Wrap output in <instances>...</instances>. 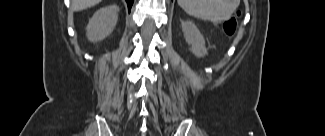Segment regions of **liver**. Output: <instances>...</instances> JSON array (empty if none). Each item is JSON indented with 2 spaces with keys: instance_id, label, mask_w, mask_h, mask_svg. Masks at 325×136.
Instances as JSON below:
<instances>
[{
  "instance_id": "1",
  "label": "liver",
  "mask_w": 325,
  "mask_h": 136,
  "mask_svg": "<svg viewBox=\"0 0 325 136\" xmlns=\"http://www.w3.org/2000/svg\"><path fill=\"white\" fill-rule=\"evenodd\" d=\"M101 2V0H72L71 9L74 11H81L92 7Z\"/></svg>"
}]
</instances>
